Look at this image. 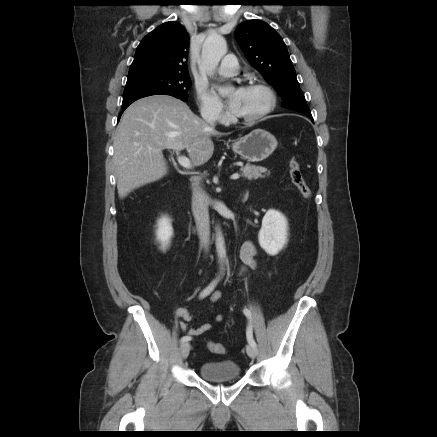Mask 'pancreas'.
<instances>
[{
  "label": "pancreas",
  "instance_id": "pancreas-1",
  "mask_svg": "<svg viewBox=\"0 0 437 437\" xmlns=\"http://www.w3.org/2000/svg\"><path fill=\"white\" fill-rule=\"evenodd\" d=\"M240 170L242 171V175L249 180L264 178L265 175H263V173L267 175L270 174V172H267L266 168L262 166H255L250 164H246Z\"/></svg>",
  "mask_w": 437,
  "mask_h": 437
}]
</instances>
